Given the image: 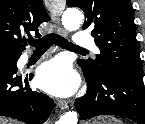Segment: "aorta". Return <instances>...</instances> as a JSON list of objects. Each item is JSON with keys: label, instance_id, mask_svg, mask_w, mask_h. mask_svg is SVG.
<instances>
[{"label": "aorta", "instance_id": "aorta-1", "mask_svg": "<svg viewBox=\"0 0 145 124\" xmlns=\"http://www.w3.org/2000/svg\"><path fill=\"white\" fill-rule=\"evenodd\" d=\"M84 16L78 9H67L62 15V24L68 31H76L83 23ZM78 115L74 111L67 112L56 124H77Z\"/></svg>", "mask_w": 145, "mask_h": 124}]
</instances>
